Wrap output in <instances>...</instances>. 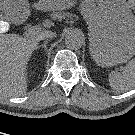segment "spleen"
I'll return each instance as SVG.
<instances>
[{
  "mask_svg": "<svg viewBox=\"0 0 135 135\" xmlns=\"http://www.w3.org/2000/svg\"><path fill=\"white\" fill-rule=\"evenodd\" d=\"M109 85L118 92H126L135 87V58L122 69L109 74Z\"/></svg>",
  "mask_w": 135,
  "mask_h": 135,
  "instance_id": "3e777b00",
  "label": "spleen"
}]
</instances>
